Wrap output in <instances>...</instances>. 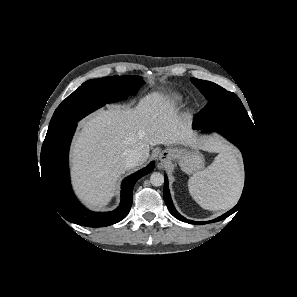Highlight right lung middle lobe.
Wrapping results in <instances>:
<instances>
[{
    "label": "right lung middle lobe",
    "instance_id": "dd1d6c3e",
    "mask_svg": "<svg viewBox=\"0 0 297 297\" xmlns=\"http://www.w3.org/2000/svg\"><path fill=\"white\" fill-rule=\"evenodd\" d=\"M144 84L139 76H112L84 82L55 110L46 138L78 122L106 103L125 99Z\"/></svg>",
    "mask_w": 297,
    "mask_h": 297
}]
</instances>
